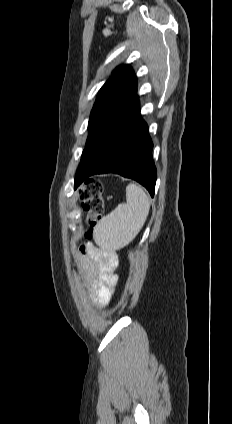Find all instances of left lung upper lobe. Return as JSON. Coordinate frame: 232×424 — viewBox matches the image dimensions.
Masks as SVG:
<instances>
[{"instance_id":"1","label":"left lung upper lobe","mask_w":232,"mask_h":424,"mask_svg":"<svg viewBox=\"0 0 232 424\" xmlns=\"http://www.w3.org/2000/svg\"><path fill=\"white\" fill-rule=\"evenodd\" d=\"M136 76L130 66L119 67L100 89L88 123L89 135L83 150L79 171L85 163L89 147L103 128L116 117L136 95Z\"/></svg>"}]
</instances>
